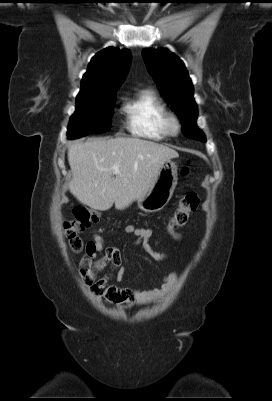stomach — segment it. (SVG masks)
<instances>
[{
	"label": "stomach",
	"mask_w": 272,
	"mask_h": 401,
	"mask_svg": "<svg viewBox=\"0 0 272 401\" xmlns=\"http://www.w3.org/2000/svg\"><path fill=\"white\" fill-rule=\"evenodd\" d=\"M177 181L176 163L168 159L159 169L147 192L137 199L138 207L146 213L160 211L171 199Z\"/></svg>",
	"instance_id": "obj_1"
}]
</instances>
